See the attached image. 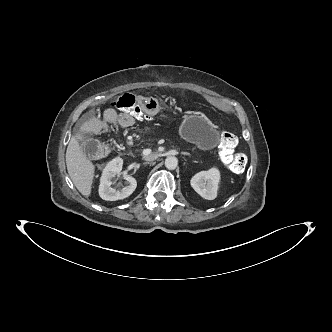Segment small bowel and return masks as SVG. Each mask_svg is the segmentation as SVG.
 <instances>
[{"mask_svg": "<svg viewBox=\"0 0 332 332\" xmlns=\"http://www.w3.org/2000/svg\"><path fill=\"white\" fill-rule=\"evenodd\" d=\"M138 105L141 109L155 115L159 114L162 109L159 102L155 101L147 95H142L139 97ZM104 121L107 122L108 125H112L114 123L122 128L131 127L134 123V119L130 118L126 113H118L111 109L105 112Z\"/></svg>", "mask_w": 332, "mask_h": 332, "instance_id": "1", "label": "small bowel"}]
</instances>
